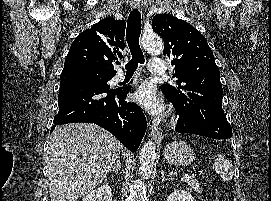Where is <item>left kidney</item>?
<instances>
[{
	"mask_svg": "<svg viewBox=\"0 0 271 201\" xmlns=\"http://www.w3.org/2000/svg\"><path fill=\"white\" fill-rule=\"evenodd\" d=\"M167 201H196V199L189 192L177 189L168 196Z\"/></svg>",
	"mask_w": 271,
	"mask_h": 201,
	"instance_id": "1",
	"label": "left kidney"
}]
</instances>
